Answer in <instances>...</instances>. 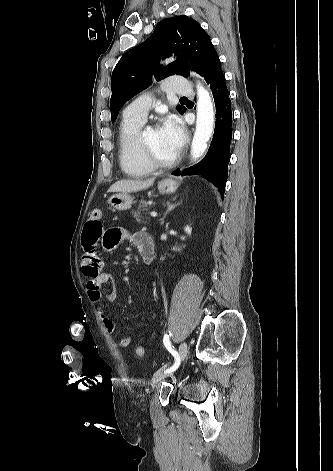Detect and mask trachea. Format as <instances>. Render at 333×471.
<instances>
[{"label":"trachea","mask_w":333,"mask_h":471,"mask_svg":"<svg viewBox=\"0 0 333 471\" xmlns=\"http://www.w3.org/2000/svg\"><path fill=\"white\" fill-rule=\"evenodd\" d=\"M181 99H187L186 97H181Z\"/></svg>","instance_id":"3493384b"}]
</instances>
